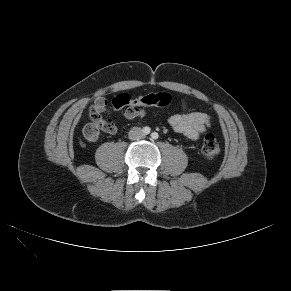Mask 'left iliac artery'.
Wrapping results in <instances>:
<instances>
[{"label": "left iliac artery", "mask_w": 291, "mask_h": 291, "mask_svg": "<svg viewBox=\"0 0 291 291\" xmlns=\"http://www.w3.org/2000/svg\"><path fill=\"white\" fill-rule=\"evenodd\" d=\"M158 137H159V134L157 133V132H153L152 134H151V138L152 139H158Z\"/></svg>", "instance_id": "1"}]
</instances>
